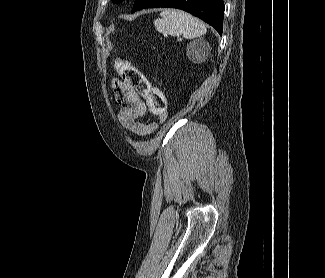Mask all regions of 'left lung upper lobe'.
I'll return each mask as SVG.
<instances>
[{
  "mask_svg": "<svg viewBox=\"0 0 325 278\" xmlns=\"http://www.w3.org/2000/svg\"><path fill=\"white\" fill-rule=\"evenodd\" d=\"M123 0H112L113 3H119L122 2Z\"/></svg>",
  "mask_w": 325,
  "mask_h": 278,
  "instance_id": "5c2ea615",
  "label": "left lung upper lobe"
}]
</instances>
